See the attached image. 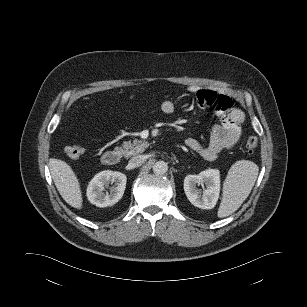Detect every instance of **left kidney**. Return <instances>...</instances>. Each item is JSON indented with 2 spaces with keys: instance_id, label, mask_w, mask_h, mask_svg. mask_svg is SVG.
<instances>
[{
  "instance_id": "5707ae66",
  "label": "left kidney",
  "mask_w": 307,
  "mask_h": 307,
  "mask_svg": "<svg viewBox=\"0 0 307 307\" xmlns=\"http://www.w3.org/2000/svg\"><path fill=\"white\" fill-rule=\"evenodd\" d=\"M205 184L206 189L201 195L197 185ZM184 191L188 200L201 209L215 207L220 194V172L217 169H207L198 175H188L184 179Z\"/></svg>"
}]
</instances>
